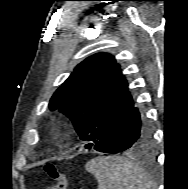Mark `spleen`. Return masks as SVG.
Listing matches in <instances>:
<instances>
[{
    "instance_id": "3e777b00",
    "label": "spleen",
    "mask_w": 188,
    "mask_h": 189,
    "mask_svg": "<svg viewBox=\"0 0 188 189\" xmlns=\"http://www.w3.org/2000/svg\"><path fill=\"white\" fill-rule=\"evenodd\" d=\"M98 181V189H151L152 181L142 168L121 157H97L85 165Z\"/></svg>"
}]
</instances>
